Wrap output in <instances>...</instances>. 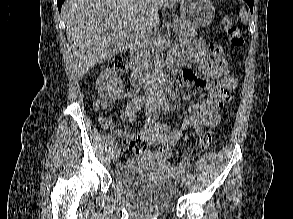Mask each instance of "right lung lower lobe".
Here are the masks:
<instances>
[{
  "label": "right lung lower lobe",
  "instance_id": "98d812e1",
  "mask_svg": "<svg viewBox=\"0 0 293 219\" xmlns=\"http://www.w3.org/2000/svg\"><path fill=\"white\" fill-rule=\"evenodd\" d=\"M64 0H57V6H58V10L61 11V6L63 4Z\"/></svg>",
  "mask_w": 293,
  "mask_h": 219
}]
</instances>
